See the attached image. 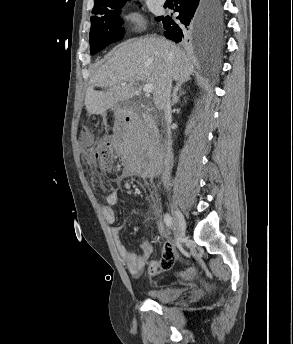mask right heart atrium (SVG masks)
<instances>
[{
  "instance_id": "1",
  "label": "right heart atrium",
  "mask_w": 293,
  "mask_h": 344,
  "mask_svg": "<svg viewBox=\"0 0 293 344\" xmlns=\"http://www.w3.org/2000/svg\"><path fill=\"white\" fill-rule=\"evenodd\" d=\"M121 29L127 33H136L139 30V16L135 11L123 13L119 18Z\"/></svg>"
}]
</instances>
